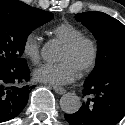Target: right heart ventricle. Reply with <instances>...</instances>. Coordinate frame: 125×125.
Masks as SVG:
<instances>
[{
    "instance_id": "obj_1",
    "label": "right heart ventricle",
    "mask_w": 125,
    "mask_h": 125,
    "mask_svg": "<svg viewBox=\"0 0 125 125\" xmlns=\"http://www.w3.org/2000/svg\"><path fill=\"white\" fill-rule=\"evenodd\" d=\"M52 34L63 44L83 35L82 31L70 23H61L52 29Z\"/></svg>"
}]
</instances>
